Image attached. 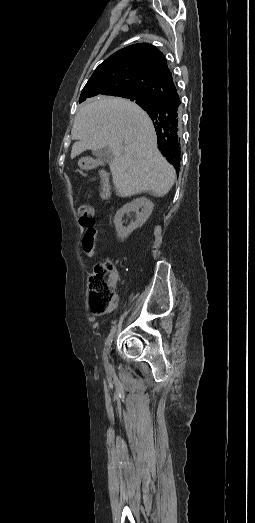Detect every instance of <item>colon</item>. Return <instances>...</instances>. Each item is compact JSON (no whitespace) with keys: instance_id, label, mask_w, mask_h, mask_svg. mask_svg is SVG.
I'll use <instances>...</instances> for the list:
<instances>
[{"instance_id":"obj_1","label":"colon","mask_w":255,"mask_h":523,"mask_svg":"<svg viewBox=\"0 0 255 523\" xmlns=\"http://www.w3.org/2000/svg\"><path fill=\"white\" fill-rule=\"evenodd\" d=\"M102 198L107 199L110 195L107 175L101 172ZM93 208L89 204L79 206L78 214L83 225L93 223ZM118 280L117 272L109 260H103L96 264L89 279L90 306L95 314L111 311L116 304L115 287Z\"/></svg>"}]
</instances>
